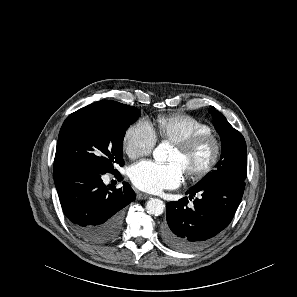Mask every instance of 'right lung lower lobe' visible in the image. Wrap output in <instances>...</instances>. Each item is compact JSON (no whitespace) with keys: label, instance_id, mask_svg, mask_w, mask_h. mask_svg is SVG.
I'll list each match as a JSON object with an SVG mask.
<instances>
[{"label":"right lung lower lobe","instance_id":"98d812e1","mask_svg":"<svg viewBox=\"0 0 297 297\" xmlns=\"http://www.w3.org/2000/svg\"><path fill=\"white\" fill-rule=\"evenodd\" d=\"M53 172L63 212L74 230L90 242L114 240L121 230L123 208L135 199L130 185L107 188L103 174L76 164L54 165Z\"/></svg>","mask_w":297,"mask_h":297}]
</instances>
